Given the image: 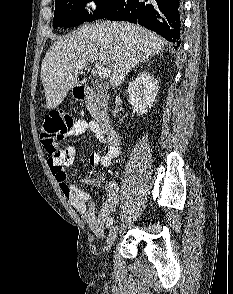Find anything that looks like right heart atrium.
I'll list each match as a JSON object with an SVG mask.
<instances>
[{
	"label": "right heart atrium",
	"mask_w": 233,
	"mask_h": 294,
	"mask_svg": "<svg viewBox=\"0 0 233 294\" xmlns=\"http://www.w3.org/2000/svg\"><path fill=\"white\" fill-rule=\"evenodd\" d=\"M83 7L87 13L95 14L100 9V2L99 0H84Z\"/></svg>",
	"instance_id": "right-heart-atrium-1"
}]
</instances>
